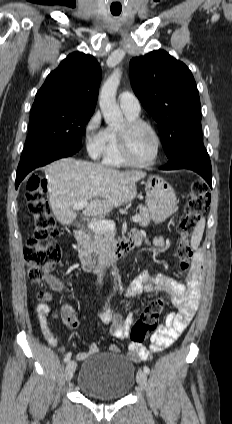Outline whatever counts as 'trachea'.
I'll list each match as a JSON object with an SVG mask.
<instances>
[{"mask_svg":"<svg viewBox=\"0 0 232 424\" xmlns=\"http://www.w3.org/2000/svg\"><path fill=\"white\" fill-rule=\"evenodd\" d=\"M112 14H113V15H115V16H117V15H119L120 13L112 12Z\"/></svg>","mask_w":232,"mask_h":424,"instance_id":"3493384b","label":"trachea"}]
</instances>
